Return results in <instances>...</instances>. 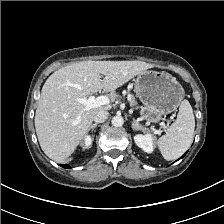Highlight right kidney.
<instances>
[{
  "label": "right kidney",
  "mask_w": 224,
  "mask_h": 224,
  "mask_svg": "<svg viewBox=\"0 0 224 224\" xmlns=\"http://www.w3.org/2000/svg\"><path fill=\"white\" fill-rule=\"evenodd\" d=\"M83 145H84V148H90L91 147V145H92V138H91V136L87 135L85 137Z\"/></svg>",
  "instance_id": "1"
}]
</instances>
